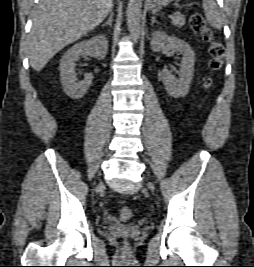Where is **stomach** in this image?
Returning a JSON list of instances; mask_svg holds the SVG:
<instances>
[{
    "label": "stomach",
    "instance_id": "stomach-1",
    "mask_svg": "<svg viewBox=\"0 0 254 267\" xmlns=\"http://www.w3.org/2000/svg\"><path fill=\"white\" fill-rule=\"evenodd\" d=\"M173 0H151L150 8H161L168 6Z\"/></svg>",
    "mask_w": 254,
    "mask_h": 267
}]
</instances>
